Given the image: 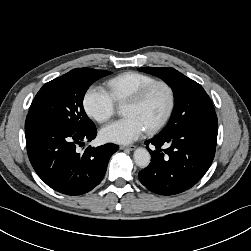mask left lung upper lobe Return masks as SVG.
Returning a JSON list of instances; mask_svg holds the SVG:
<instances>
[{
	"label": "left lung upper lobe",
	"mask_w": 251,
	"mask_h": 251,
	"mask_svg": "<svg viewBox=\"0 0 251 251\" xmlns=\"http://www.w3.org/2000/svg\"><path fill=\"white\" fill-rule=\"evenodd\" d=\"M140 71L155 75L163 79L172 87L175 97V107L166 127L160 132L167 133L188 123L193 112L202 101L212 102L200 84L186 77L179 71L170 67H145Z\"/></svg>",
	"instance_id": "obj_1"
}]
</instances>
